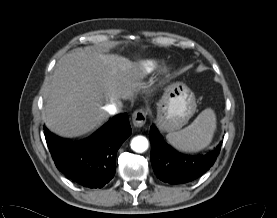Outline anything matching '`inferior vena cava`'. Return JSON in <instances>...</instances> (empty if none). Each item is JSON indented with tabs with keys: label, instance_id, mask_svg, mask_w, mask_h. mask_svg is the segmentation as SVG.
<instances>
[{
	"label": "inferior vena cava",
	"instance_id": "obj_1",
	"mask_svg": "<svg viewBox=\"0 0 277 218\" xmlns=\"http://www.w3.org/2000/svg\"><path fill=\"white\" fill-rule=\"evenodd\" d=\"M106 111L109 114H115L122 111V103H112L111 105L106 106Z\"/></svg>",
	"mask_w": 277,
	"mask_h": 218
}]
</instances>
